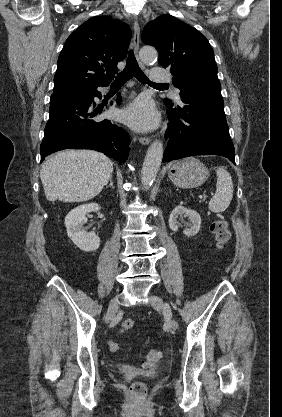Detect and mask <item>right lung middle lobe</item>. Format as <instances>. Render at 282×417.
Segmentation results:
<instances>
[{
    "label": "right lung middle lobe",
    "mask_w": 282,
    "mask_h": 417,
    "mask_svg": "<svg viewBox=\"0 0 282 417\" xmlns=\"http://www.w3.org/2000/svg\"><path fill=\"white\" fill-rule=\"evenodd\" d=\"M69 93H72V92L51 95V100H56L58 98H61V97L65 96V95L69 94Z\"/></svg>",
    "instance_id": "right-lung-middle-lobe-1"
}]
</instances>
